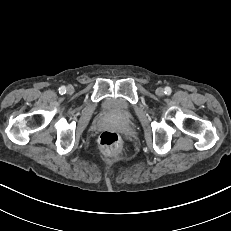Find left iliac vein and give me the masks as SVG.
Returning <instances> with one entry per match:
<instances>
[{
    "label": "left iliac vein",
    "instance_id": "left-iliac-vein-1",
    "mask_svg": "<svg viewBox=\"0 0 231 231\" xmlns=\"http://www.w3.org/2000/svg\"><path fill=\"white\" fill-rule=\"evenodd\" d=\"M155 92H156V94L158 96H163L164 95V89L161 88V87H158Z\"/></svg>",
    "mask_w": 231,
    "mask_h": 231
}]
</instances>
